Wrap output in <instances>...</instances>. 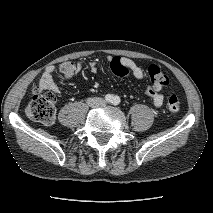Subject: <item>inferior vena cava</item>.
<instances>
[{"mask_svg":"<svg viewBox=\"0 0 213 213\" xmlns=\"http://www.w3.org/2000/svg\"><path fill=\"white\" fill-rule=\"evenodd\" d=\"M87 103L89 106H92V107H100V106L106 105V101L103 98H99V97L88 98Z\"/></svg>","mask_w":213,"mask_h":213,"instance_id":"obj_1","label":"inferior vena cava"}]
</instances>
